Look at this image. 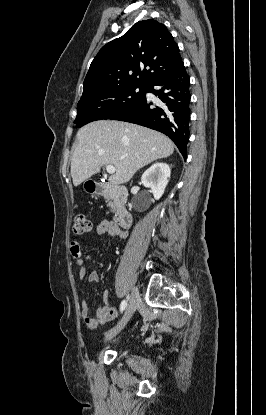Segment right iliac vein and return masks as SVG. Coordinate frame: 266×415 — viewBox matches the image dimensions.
I'll use <instances>...</instances> for the list:
<instances>
[{
	"label": "right iliac vein",
	"instance_id": "63e3f726",
	"mask_svg": "<svg viewBox=\"0 0 266 415\" xmlns=\"http://www.w3.org/2000/svg\"><path fill=\"white\" fill-rule=\"evenodd\" d=\"M139 302H140L139 292L137 288H133L130 298H129L128 306L123 314V317L119 321V323L107 333L106 335L107 340L115 337L125 327L127 322L132 317L133 313L135 312Z\"/></svg>",
	"mask_w": 266,
	"mask_h": 415
}]
</instances>
